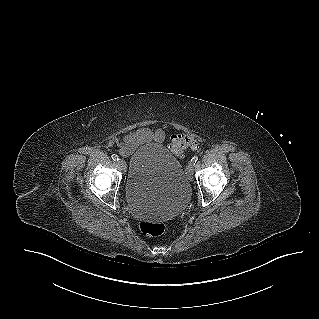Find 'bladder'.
<instances>
[{
  "instance_id": "1",
  "label": "bladder",
  "mask_w": 319,
  "mask_h": 319,
  "mask_svg": "<svg viewBox=\"0 0 319 319\" xmlns=\"http://www.w3.org/2000/svg\"><path fill=\"white\" fill-rule=\"evenodd\" d=\"M125 198L132 211L144 218L180 211L190 198V185L181 162L159 143L138 148L130 157Z\"/></svg>"
}]
</instances>
